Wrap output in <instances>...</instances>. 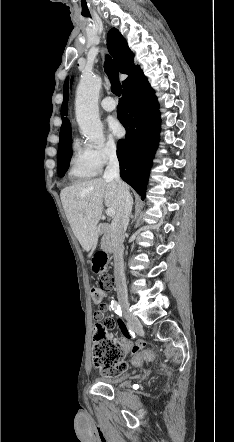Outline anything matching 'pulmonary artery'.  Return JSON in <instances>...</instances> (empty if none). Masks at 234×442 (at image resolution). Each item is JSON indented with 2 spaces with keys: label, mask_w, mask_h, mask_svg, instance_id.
I'll list each match as a JSON object with an SVG mask.
<instances>
[{
  "label": "pulmonary artery",
  "mask_w": 234,
  "mask_h": 442,
  "mask_svg": "<svg viewBox=\"0 0 234 442\" xmlns=\"http://www.w3.org/2000/svg\"><path fill=\"white\" fill-rule=\"evenodd\" d=\"M101 107L103 110L107 112H111L116 109V102L111 97L104 98L101 103Z\"/></svg>",
  "instance_id": "obj_1"
}]
</instances>
